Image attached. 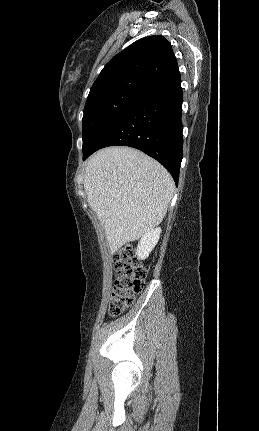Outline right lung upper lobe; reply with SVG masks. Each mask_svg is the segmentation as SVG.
Wrapping results in <instances>:
<instances>
[{
    "label": "right lung upper lobe",
    "mask_w": 259,
    "mask_h": 431,
    "mask_svg": "<svg viewBox=\"0 0 259 431\" xmlns=\"http://www.w3.org/2000/svg\"><path fill=\"white\" fill-rule=\"evenodd\" d=\"M178 77L180 72L169 41L163 36H148L115 55L100 72L89 95L131 81L153 88Z\"/></svg>",
    "instance_id": "1"
}]
</instances>
